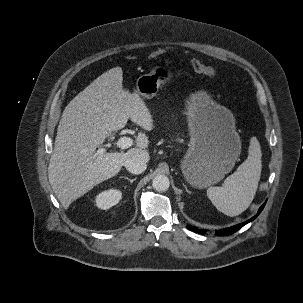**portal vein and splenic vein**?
I'll list each match as a JSON object with an SVG mask.
<instances>
[{
    "mask_svg": "<svg viewBox=\"0 0 303 303\" xmlns=\"http://www.w3.org/2000/svg\"><path fill=\"white\" fill-rule=\"evenodd\" d=\"M116 147L121 148V149H127L133 145V140L130 137H120L116 143ZM105 152L104 148H100L96 151V155H101Z\"/></svg>",
    "mask_w": 303,
    "mask_h": 303,
    "instance_id": "18ae733b",
    "label": "portal vein and splenic vein"
}]
</instances>
